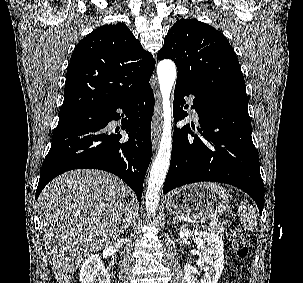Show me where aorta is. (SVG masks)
<instances>
[{
	"mask_svg": "<svg viewBox=\"0 0 303 283\" xmlns=\"http://www.w3.org/2000/svg\"><path fill=\"white\" fill-rule=\"evenodd\" d=\"M157 75L162 95L164 121L158 153L151 167L145 195V207L149 216H153L158 208L160 190L170 165L172 150L170 94L177 77L175 64L169 59L160 61L157 66Z\"/></svg>",
	"mask_w": 303,
	"mask_h": 283,
	"instance_id": "762f6f07",
	"label": "aorta"
}]
</instances>
